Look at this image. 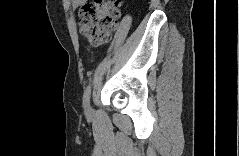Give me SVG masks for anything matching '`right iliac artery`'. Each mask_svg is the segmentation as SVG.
<instances>
[{
	"label": "right iliac artery",
	"instance_id": "1",
	"mask_svg": "<svg viewBox=\"0 0 239 156\" xmlns=\"http://www.w3.org/2000/svg\"><path fill=\"white\" fill-rule=\"evenodd\" d=\"M90 94H91V87L90 85L86 88L84 95H83V106L85 111L87 110V107L89 105V100H90Z\"/></svg>",
	"mask_w": 239,
	"mask_h": 156
}]
</instances>
